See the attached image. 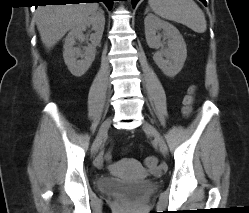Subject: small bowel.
<instances>
[{
  "label": "small bowel",
  "mask_w": 249,
  "mask_h": 213,
  "mask_svg": "<svg viewBox=\"0 0 249 213\" xmlns=\"http://www.w3.org/2000/svg\"><path fill=\"white\" fill-rule=\"evenodd\" d=\"M111 161V156L109 152H106L104 154H101L97 159H96V165L98 167H103L104 163H110ZM111 168H113V165H110Z\"/></svg>",
  "instance_id": "small-bowel-1"
}]
</instances>
